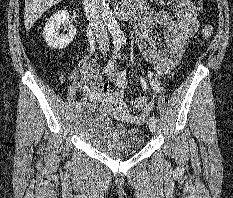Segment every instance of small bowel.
Returning a JSON list of instances; mask_svg holds the SVG:
<instances>
[{
  "label": "small bowel",
  "mask_w": 233,
  "mask_h": 198,
  "mask_svg": "<svg viewBox=\"0 0 233 198\" xmlns=\"http://www.w3.org/2000/svg\"><path fill=\"white\" fill-rule=\"evenodd\" d=\"M169 2L176 8L174 13L164 9H153L142 3L134 21L136 41L142 56L148 63L155 65L159 75L168 74L177 66L186 43L199 27L198 13L189 7L188 0H169ZM152 26L165 27L166 48L161 49L156 46L150 34ZM84 70L85 79L81 92L86 100L101 103L115 114L130 121L141 120L130 115L123 102L128 87L127 69L118 70L113 65L108 68L106 78L101 79L97 75L96 63L92 60L86 64ZM112 85L115 88H112Z\"/></svg>",
  "instance_id": "c3829d8e"
}]
</instances>
